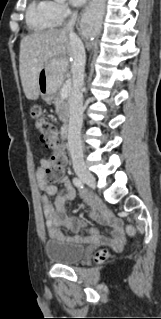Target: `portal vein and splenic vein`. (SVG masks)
Returning <instances> with one entry per match:
<instances>
[{
	"label": "portal vein and splenic vein",
	"mask_w": 161,
	"mask_h": 319,
	"mask_svg": "<svg viewBox=\"0 0 161 319\" xmlns=\"http://www.w3.org/2000/svg\"><path fill=\"white\" fill-rule=\"evenodd\" d=\"M71 91V81H66L61 89V97L66 98L70 94Z\"/></svg>",
	"instance_id": "1"
}]
</instances>
